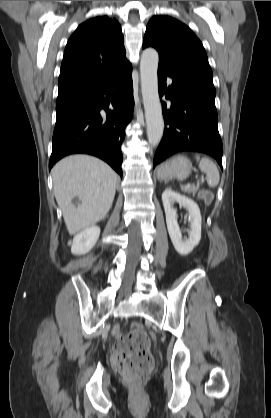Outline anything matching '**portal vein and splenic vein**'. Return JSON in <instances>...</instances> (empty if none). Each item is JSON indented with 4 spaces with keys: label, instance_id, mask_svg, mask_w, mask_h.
Returning a JSON list of instances; mask_svg holds the SVG:
<instances>
[{
    "label": "portal vein and splenic vein",
    "instance_id": "1",
    "mask_svg": "<svg viewBox=\"0 0 271 418\" xmlns=\"http://www.w3.org/2000/svg\"><path fill=\"white\" fill-rule=\"evenodd\" d=\"M202 181H204V177H202ZM190 187V184L188 183L187 185H186V188H189Z\"/></svg>",
    "mask_w": 271,
    "mask_h": 418
}]
</instances>
